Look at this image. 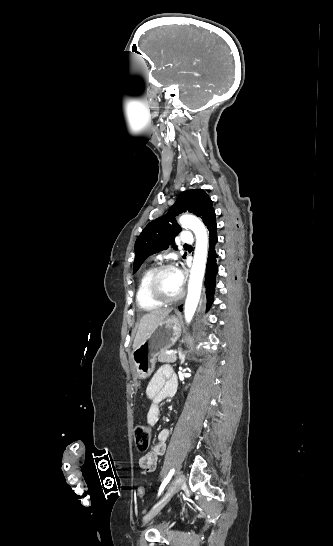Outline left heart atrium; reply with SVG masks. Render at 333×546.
<instances>
[{"mask_svg": "<svg viewBox=\"0 0 333 546\" xmlns=\"http://www.w3.org/2000/svg\"><path fill=\"white\" fill-rule=\"evenodd\" d=\"M175 274H176V279H177L178 284L182 287L183 281H184L183 271L181 269H176Z\"/></svg>", "mask_w": 333, "mask_h": 546, "instance_id": "39dd6f15", "label": "left heart atrium"}]
</instances>
